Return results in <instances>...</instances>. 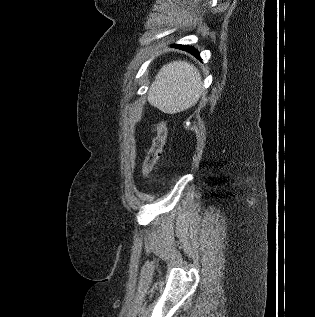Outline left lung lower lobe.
Masks as SVG:
<instances>
[{"label":"left lung lower lobe","instance_id":"obj_1","mask_svg":"<svg viewBox=\"0 0 315 317\" xmlns=\"http://www.w3.org/2000/svg\"><path fill=\"white\" fill-rule=\"evenodd\" d=\"M173 46H176V47H178L180 49H183V50L191 53L192 55H194L198 59H201L200 56H199V52L196 49H194L193 47H190V46H187V45H173Z\"/></svg>","mask_w":315,"mask_h":317}]
</instances>
